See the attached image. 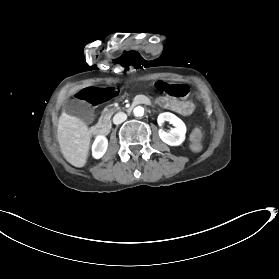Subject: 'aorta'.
I'll list each match as a JSON object with an SVG mask.
<instances>
[{
	"label": "aorta",
	"instance_id": "1",
	"mask_svg": "<svg viewBox=\"0 0 279 279\" xmlns=\"http://www.w3.org/2000/svg\"><path fill=\"white\" fill-rule=\"evenodd\" d=\"M143 114H144V108L143 107L137 106V107L134 108V115L135 116L141 117V116H143Z\"/></svg>",
	"mask_w": 279,
	"mask_h": 279
}]
</instances>
